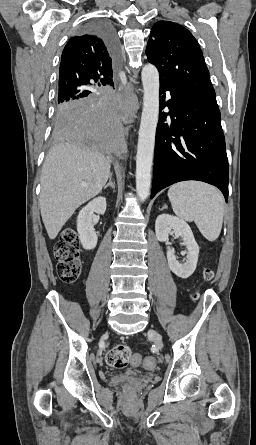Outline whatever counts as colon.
Wrapping results in <instances>:
<instances>
[{
  "label": "colon",
  "mask_w": 256,
  "mask_h": 445,
  "mask_svg": "<svg viewBox=\"0 0 256 445\" xmlns=\"http://www.w3.org/2000/svg\"><path fill=\"white\" fill-rule=\"evenodd\" d=\"M79 252L80 244L77 233L73 229L63 231L54 248L55 257L58 261L57 269L63 281L72 282L78 278L82 266ZM203 277L205 280L212 279V270L206 268L203 271ZM191 297L193 300H197L199 295L195 292ZM142 361L143 356L132 354L130 347L125 344L114 346L106 354L107 364L116 369L125 368L129 363L140 365ZM145 364L148 368L154 367V361L151 358H147ZM126 389L130 390L128 386Z\"/></svg>",
  "instance_id": "obj_1"
}]
</instances>
